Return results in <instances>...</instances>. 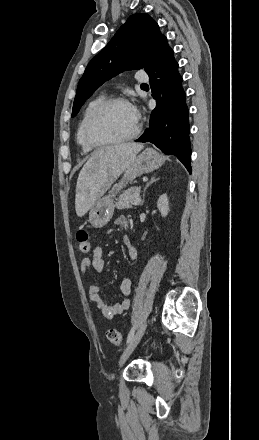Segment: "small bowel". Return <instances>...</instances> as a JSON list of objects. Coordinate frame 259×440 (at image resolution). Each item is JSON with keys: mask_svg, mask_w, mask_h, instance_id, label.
I'll list each match as a JSON object with an SVG mask.
<instances>
[{"mask_svg": "<svg viewBox=\"0 0 259 440\" xmlns=\"http://www.w3.org/2000/svg\"><path fill=\"white\" fill-rule=\"evenodd\" d=\"M116 224L120 227H127L128 221L126 217L120 216L116 219ZM123 242L126 247V252L131 260H135L138 256L137 249L131 244L128 237L123 238ZM105 269V260L103 256V249L101 247L94 248L90 258H83L80 263V272L82 275L94 270L98 273H102ZM133 281L130 277H125L121 282V292L128 296L132 291ZM89 299L95 302L97 308L101 311L102 315L112 320L125 312L130 307V300L128 298L123 299L120 303L108 304L99 295L98 281L89 287L88 292Z\"/></svg>", "mask_w": 259, "mask_h": 440, "instance_id": "obj_1", "label": "small bowel"}]
</instances>
